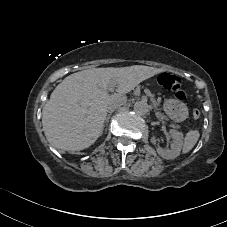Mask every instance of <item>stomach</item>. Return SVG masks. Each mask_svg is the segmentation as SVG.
Wrapping results in <instances>:
<instances>
[{"mask_svg": "<svg viewBox=\"0 0 227 227\" xmlns=\"http://www.w3.org/2000/svg\"><path fill=\"white\" fill-rule=\"evenodd\" d=\"M165 113L174 121L180 122L189 116L187 106L175 99L166 100L163 104Z\"/></svg>", "mask_w": 227, "mask_h": 227, "instance_id": "0dacf381", "label": "stomach"}]
</instances>
